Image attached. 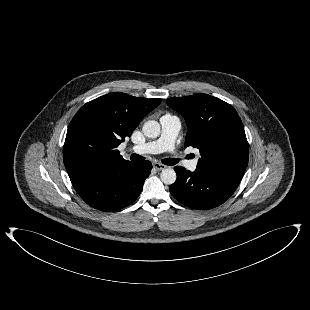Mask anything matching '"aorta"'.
I'll use <instances>...</instances> for the list:
<instances>
[{
    "label": "aorta",
    "mask_w": 310,
    "mask_h": 310,
    "mask_svg": "<svg viewBox=\"0 0 310 310\" xmlns=\"http://www.w3.org/2000/svg\"><path fill=\"white\" fill-rule=\"evenodd\" d=\"M143 134L148 138H157L160 134V124L155 120H149L144 123L142 128ZM176 172L171 168L163 169L160 178L166 185H171L176 181Z\"/></svg>",
    "instance_id": "aorta-1"
}]
</instances>
